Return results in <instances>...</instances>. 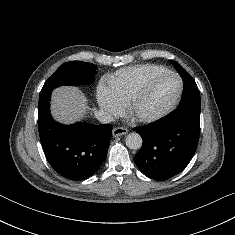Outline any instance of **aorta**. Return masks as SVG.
<instances>
[{"instance_id": "762f6f07", "label": "aorta", "mask_w": 235, "mask_h": 235, "mask_svg": "<svg viewBox=\"0 0 235 235\" xmlns=\"http://www.w3.org/2000/svg\"><path fill=\"white\" fill-rule=\"evenodd\" d=\"M125 143L128 148L137 150L142 146V138L138 133H129L126 136Z\"/></svg>"}]
</instances>
